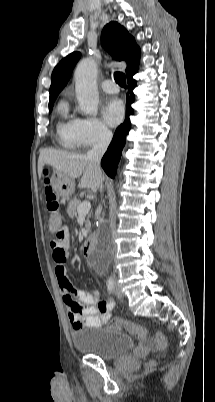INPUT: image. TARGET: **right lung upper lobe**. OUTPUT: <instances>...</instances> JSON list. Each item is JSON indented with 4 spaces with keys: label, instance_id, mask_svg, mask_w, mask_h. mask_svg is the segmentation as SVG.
Here are the masks:
<instances>
[{
    "label": "right lung upper lobe",
    "instance_id": "obj_1",
    "mask_svg": "<svg viewBox=\"0 0 215 402\" xmlns=\"http://www.w3.org/2000/svg\"><path fill=\"white\" fill-rule=\"evenodd\" d=\"M101 43L116 60L127 62V78L137 73L140 60V48L123 26L115 21L108 23L103 28ZM80 56L81 54L79 52H73L63 58L54 68L51 77L50 99L56 98L67 84Z\"/></svg>",
    "mask_w": 215,
    "mask_h": 402
}]
</instances>
